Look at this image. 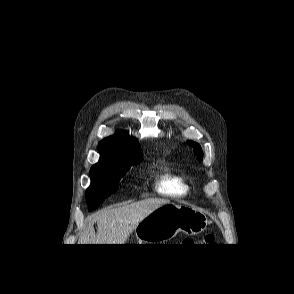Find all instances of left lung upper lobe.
<instances>
[{
  "label": "left lung upper lobe",
  "mask_w": 294,
  "mask_h": 294,
  "mask_svg": "<svg viewBox=\"0 0 294 294\" xmlns=\"http://www.w3.org/2000/svg\"><path fill=\"white\" fill-rule=\"evenodd\" d=\"M189 146L194 148V152L197 155V157L202 160L203 159V152L202 149L200 147V145L196 142L193 141H188Z\"/></svg>",
  "instance_id": "left-lung-upper-lobe-1"
}]
</instances>
